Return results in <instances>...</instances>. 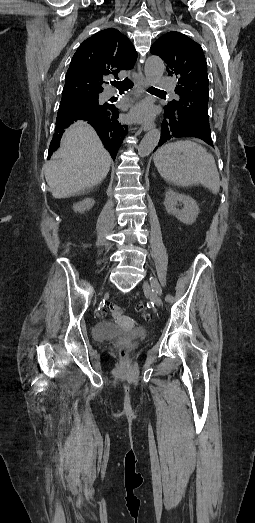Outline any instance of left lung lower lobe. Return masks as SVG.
Segmentation results:
<instances>
[{
	"label": "left lung lower lobe",
	"instance_id": "1",
	"mask_svg": "<svg viewBox=\"0 0 255 523\" xmlns=\"http://www.w3.org/2000/svg\"><path fill=\"white\" fill-rule=\"evenodd\" d=\"M162 130H159L160 137H158L157 147L162 149L167 140H172V137H199V140H202V143L205 145L211 146L213 141L211 140L212 134L211 130H206L204 125H198L196 121L185 120L183 115H179V112L167 111V114L162 118Z\"/></svg>",
	"mask_w": 255,
	"mask_h": 523
}]
</instances>
